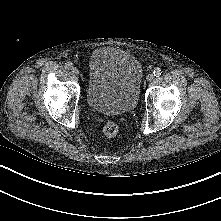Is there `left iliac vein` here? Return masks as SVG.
I'll return each instance as SVG.
<instances>
[{
    "label": "left iliac vein",
    "instance_id": "1",
    "mask_svg": "<svg viewBox=\"0 0 221 221\" xmlns=\"http://www.w3.org/2000/svg\"><path fill=\"white\" fill-rule=\"evenodd\" d=\"M146 79H147L148 82H151V81H153L155 79V77H154L153 74H148Z\"/></svg>",
    "mask_w": 221,
    "mask_h": 221
}]
</instances>
